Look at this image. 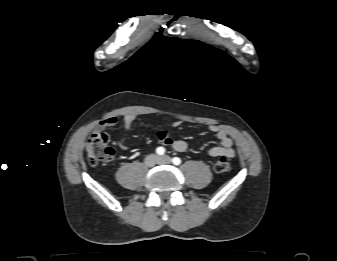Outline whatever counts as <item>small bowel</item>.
<instances>
[{"mask_svg": "<svg viewBox=\"0 0 337 261\" xmlns=\"http://www.w3.org/2000/svg\"><path fill=\"white\" fill-rule=\"evenodd\" d=\"M137 116L135 114L129 113L123 116V127L125 130H129L132 128ZM118 120L116 117L111 116L104 120H102L98 126V130H104L106 128L115 126ZM181 124L180 121H175L172 126L178 127ZM209 130L215 134L217 139L220 142L219 146H214L209 150V155L212 157H220L222 155H226L229 158L234 157V150H233V141L229 137L227 131L218 126V125H210ZM157 139L158 142L163 146H170L175 151L184 152L188 149V144L186 141L177 139L173 136L171 130H160L157 132ZM125 146H121L122 150H125Z\"/></svg>", "mask_w": 337, "mask_h": 261, "instance_id": "c3829d8e", "label": "small bowel"}]
</instances>
